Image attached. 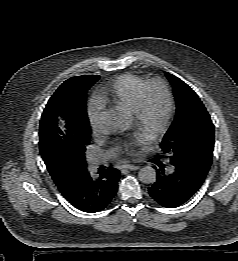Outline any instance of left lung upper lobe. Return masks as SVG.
Instances as JSON below:
<instances>
[{
    "label": "left lung upper lobe",
    "instance_id": "5c2ea615",
    "mask_svg": "<svg viewBox=\"0 0 238 261\" xmlns=\"http://www.w3.org/2000/svg\"><path fill=\"white\" fill-rule=\"evenodd\" d=\"M173 86L176 115L162 143L172 164L208 173L214 148V125L198 95L182 80L165 72Z\"/></svg>",
    "mask_w": 238,
    "mask_h": 261
}]
</instances>
